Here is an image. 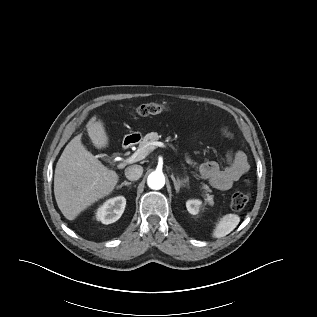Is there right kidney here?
I'll return each instance as SVG.
<instances>
[{
  "label": "right kidney",
  "instance_id": "right-kidney-1",
  "mask_svg": "<svg viewBox=\"0 0 317 317\" xmlns=\"http://www.w3.org/2000/svg\"><path fill=\"white\" fill-rule=\"evenodd\" d=\"M125 206L126 199L123 196L109 199L97 209L95 213L96 219L103 224H111L121 217Z\"/></svg>",
  "mask_w": 317,
  "mask_h": 317
}]
</instances>
